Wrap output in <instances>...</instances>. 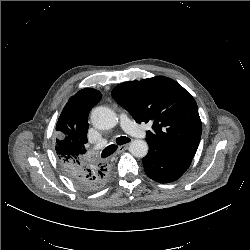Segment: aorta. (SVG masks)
<instances>
[{"label": "aorta", "mask_w": 250, "mask_h": 250, "mask_svg": "<svg viewBox=\"0 0 250 250\" xmlns=\"http://www.w3.org/2000/svg\"><path fill=\"white\" fill-rule=\"evenodd\" d=\"M91 122L97 129L109 130L118 124V117L110 108L99 106L93 109L91 113ZM129 152L135 157L143 158L148 153V144L141 139L133 140L130 143Z\"/></svg>", "instance_id": "aorta-1"}]
</instances>
